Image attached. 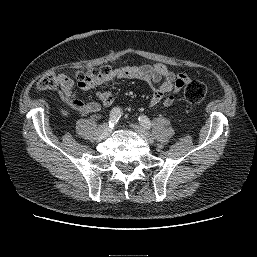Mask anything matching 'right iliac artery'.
Returning a JSON list of instances; mask_svg holds the SVG:
<instances>
[{"label": "right iliac artery", "mask_w": 257, "mask_h": 257, "mask_svg": "<svg viewBox=\"0 0 257 257\" xmlns=\"http://www.w3.org/2000/svg\"><path fill=\"white\" fill-rule=\"evenodd\" d=\"M121 109L118 108V107H115L112 109V111L110 112V117H109V127H113L117 122L118 120L120 119L121 117Z\"/></svg>", "instance_id": "1"}]
</instances>
